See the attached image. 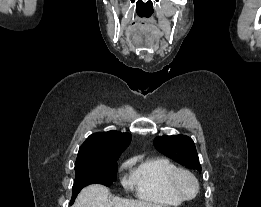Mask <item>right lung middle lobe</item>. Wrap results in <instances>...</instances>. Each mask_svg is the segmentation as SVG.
Masks as SVG:
<instances>
[{"label":"right lung middle lobe","instance_id":"obj_1","mask_svg":"<svg viewBox=\"0 0 261 207\" xmlns=\"http://www.w3.org/2000/svg\"><path fill=\"white\" fill-rule=\"evenodd\" d=\"M118 158L116 157L109 162L75 165L76 175L70 204L75 201L78 193L87 185L102 184L110 186L116 180L118 170L116 161Z\"/></svg>","mask_w":261,"mask_h":207}]
</instances>
